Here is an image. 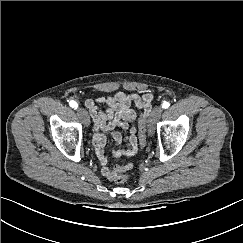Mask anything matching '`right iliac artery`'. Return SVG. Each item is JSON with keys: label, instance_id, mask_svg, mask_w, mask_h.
<instances>
[{"label": "right iliac artery", "instance_id": "82829eb1", "mask_svg": "<svg viewBox=\"0 0 243 243\" xmlns=\"http://www.w3.org/2000/svg\"><path fill=\"white\" fill-rule=\"evenodd\" d=\"M69 105L72 107V108H75V109H77V107H78V104L75 102V101H70L69 102Z\"/></svg>", "mask_w": 243, "mask_h": 243}]
</instances>
